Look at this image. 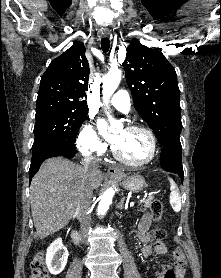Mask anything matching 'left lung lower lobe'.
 Returning <instances> with one entry per match:
<instances>
[{"label":"left lung lower lobe","mask_w":221,"mask_h":278,"mask_svg":"<svg viewBox=\"0 0 221 278\" xmlns=\"http://www.w3.org/2000/svg\"><path fill=\"white\" fill-rule=\"evenodd\" d=\"M181 143L170 142L162 146L160 155V164L165 171L173 172L184 178L182 159H181Z\"/></svg>","instance_id":"left-lung-lower-lobe-1"}]
</instances>
